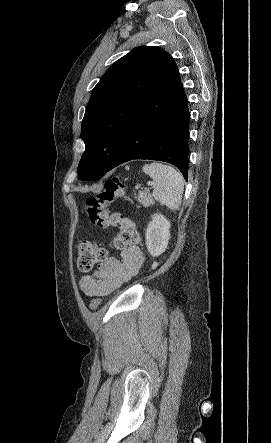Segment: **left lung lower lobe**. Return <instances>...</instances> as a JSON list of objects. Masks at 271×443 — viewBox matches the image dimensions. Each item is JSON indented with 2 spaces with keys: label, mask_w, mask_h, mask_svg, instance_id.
Instances as JSON below:
<instances>
[{
  "label": "left lung lower lobe",
  "mask_w": 271,
  "mask_h": 443,
  "mask_svg": "<svg viewBox=\"0 0 271 443\" xmlns=\"http://www.w3.org/2000/svg\"><path fill=\"white\" fill-rule=\"evenodd\" d=\"M189 121L188 100L172 59L134 113L109 171L132 159L158 160L176 166L187 180Z\"/></svg>",
  "instance_id": "obj_1"
}]
</instances>
